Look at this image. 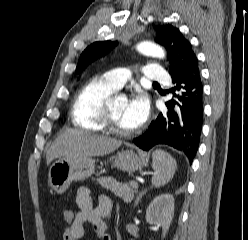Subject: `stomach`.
Listing matches in <instances>:
<instances>
[{"label":"stomach","instance_id":"0dacf381","mask_svg":"<svg viewBox=\"0 0 248 240\" xmlns=\"http://www.w3.org/2000/svg\"><path fill=\"white\" fill-rule=\"evenodd\" d=\"M148 159L147 154L136 153L130 149L118 152L112 161L114 160L113 166L123 171L134 172L145 167ZM94 170L95 160L89 156L59 159L49 168L48 182L57 194H63L73 180H84L90 177Z\"/></svg>","mask_w":248,"mask_h":240}]
</instances>
